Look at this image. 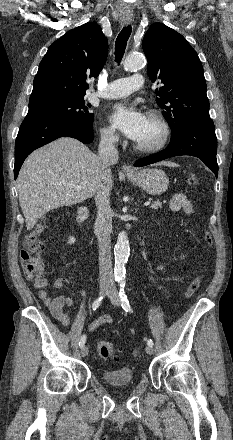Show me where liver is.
<instances>
[{
  "label": "liver",
  "instance_id": "6515ba94",
  "mask_svg": "<svg viewBox=\"0 0 233 440\" xmlns=\"http://www.w3.org/2000/svg\"><path fill=\"white\" fill-rule=\"evenodd\" d=\"M71 185L82 189L75 190ZM104 185L113 186L110 169L105 170L99 156L77 139L63 137L37 149L28 156L17 178L27 230L47 212L79 204Z\"/></svg>",
  "mask_w": 233,
  "mask_h": 440
}]
</instances>
